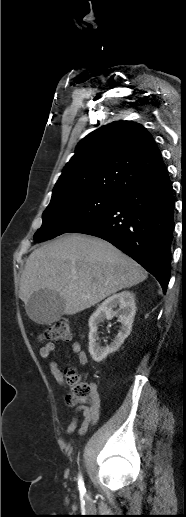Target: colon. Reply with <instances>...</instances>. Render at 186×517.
<instances>
[{"instance_id":"1","label":"colon","mask_w":186,"mask_h":517,"mask_svg":"<svg viewBox=\"0 0 186 517\" xmlns=\"http://www.w3.org/2000/svg\"><path fill=\"white\" fill-rule=\"evenodd\" d=\"M72 328L68 321L61 320L47 326L39 335L41 341H58L70 338ZM66 379L70 385V392L67 396L70 404L89 403L94 398L93 384L84 382L80 379L75 370L66 373Z\"/></svg>"}]
</instances>
